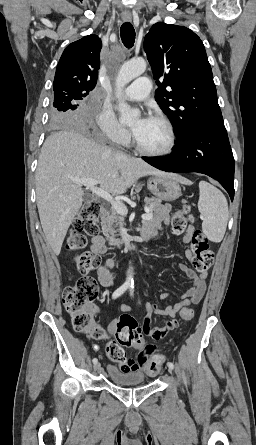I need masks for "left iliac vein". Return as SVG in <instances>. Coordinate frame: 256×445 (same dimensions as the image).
<instances>
[{"label":"left iliac vein","mask_w":256,"mask_h":445,"mask_svg":"<svg viewBox=\"0 0 256 445\" xmlns=\"http://www.w3.org/2000/svg\"><path fill=\"white\" fill-rule=\"evenodd\" d=\"M172 371V369L171 368H169V372H171Z\"/></svg>","instance_id":"4c4485c4"}]
</instances>
